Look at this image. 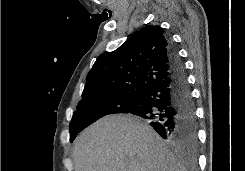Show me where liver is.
I'll return each mask as SVG.
<instances>
[{
  "mask_svg": "<svg viewBox=\"0 0 245 171\" xmlns=\"http://www.w3.org/2000/svg\"><path fill=\"white\" fill-rule=\"evenodd\" d=\"M75 171H186L161 137L130 115L106 116L77 137Z\"/></svg>",
  "mask_w": 245,
  "mask_h": 171,
  "instance_id": "liver-1",
  "label": "liver"
}]
</instances>
